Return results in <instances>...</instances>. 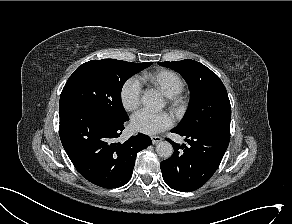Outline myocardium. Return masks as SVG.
<instances>
[{"instance_id": "myocardium-1", "label": "myocardium", "mask_w": 292, "mask_h": 224, "mask_svg": "<svg viewBox=\"0 0 292 224\" xmlns=\"http://www.w3.org/2000/svg\"><path fill=\"white\" fill-rule=\"evenodd\" d=\"M173 103H174V106L177 107V108H182L183 107V101L181 99L174 98L173 99Z\"/></svg>"}]
</instances>
